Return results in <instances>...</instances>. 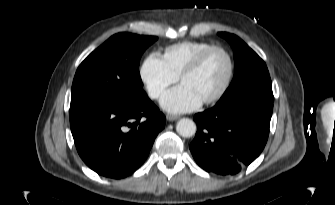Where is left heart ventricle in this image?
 <instances>
[{
  "label": "left heart ventricle",
  "mask_w": 335,
  "mask_h": 205,
  "mask_svg": "<svg viewBox=\"0 0 335 205\" xmlns=\"http://www.w3.org/2000/svg\"><path fill=\"white\" fill-rule=\"evenodd\" d=\"M228 70L229 64L226 56L220 51H214L208 55L195 73L185 77L181 83L190 88L201 101H204L220 89Z\"/></svg>",
  "instance_id": "left-heart-ventricle-1"
}]
</instances>
